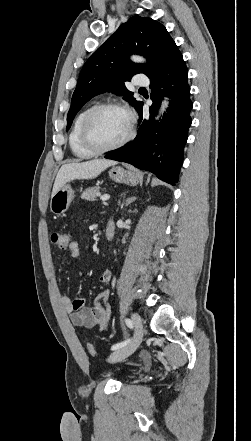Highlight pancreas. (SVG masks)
Returning <instances> with one entry per match:
<instances>
[{
  "mask_svg": "<svg viewBox=\"0 0 251 441\" xmlns=\"http://www.w3.org/2000/svg\"><path fill=\"white\" fill-rule=\"evenodd\" d=\"M98 186L89 187L81 194V198L88 201H95L96 196L100 194Z\"/></svg>",
  "mask_w": 251,
  "mask_h": 441,
  "instance_id": "obj_1",
  "label": "pancreas"
}]
</instances>
